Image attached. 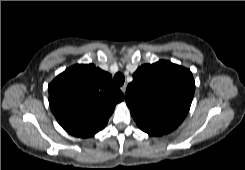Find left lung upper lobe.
<instances>
[{
	"label": "left lung upper lobe",
	"mask_w": 245,
	"mask_h": 170,
	"mask_svg": "<svg viewBox=\"0 0 245 170\" xmlns=\"http://www.w3.org/2000/svg\"><path fill=\"white\" fill-rule=\"evenodd\" d=\"M194 91L189 69L160 60L138 67L125 101L140 129L166 134L188 114Z\"/></svg>",
	"instance_id": "5c2ea615"
}]
</instances>
